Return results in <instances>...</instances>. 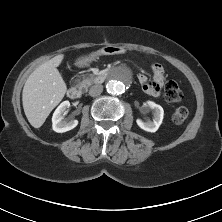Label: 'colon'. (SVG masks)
Returning <instances> with one entry per match:
<instances>
[{
    "instance_id": "colon-1",
    "label": "colon",
    "mask_w": 222,
    "mask_h": 222,
    "mask_svg": "<svg viewBox=\"0 0 222 222\" xmlns=\"http://www.w3.org/2000/svg\"><path fill=\"white\" fill-rule=\"evenodd\" d=\"M183 97L182 91L179 85L174 81H169L164 87V98L166 101L175 103L179 102ZM188 117V109L184 106L178 107L172 116L174 123H183Z\"/></svg>"
}]
</instances>
